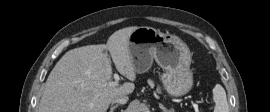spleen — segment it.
Listing matches in <instances>:
<instances>
[{
  "instance_id": "3e777b00",
  "label": "spleen",
  "mask_w": 270,
  "mask_h": 112,
  "mask_svg": "<svg viewBox=\"0 0 270 112\" xmlns=\"http://www.w3.org/2000/svg\"><path fill=\"white\" fill-rule=\"evenodd\" d=\"M213 99L216 104L213 112H229L226 92L219 84L213 88Z\"/></svg>"
}]
</instances>
